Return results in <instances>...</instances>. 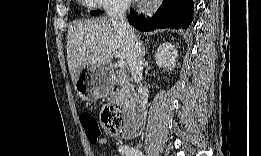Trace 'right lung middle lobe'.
<instances>
[{
    "instance_id": "obj_1",
    "label": "right lung middle lobe",
    "mask_w": 261,
    "mask_h": 156,
    "mask_svg": "<svg viewBox=\"0 0 261 156\" xmlns=\"http://www.w3.org/2000/svg\"><path fill=\"white\" fill-rule=\"evenodd\" d=\"M98 13H99V11H92V12H91L92 15H96V14H98Z\"/></svg>"
}]
</instances>
